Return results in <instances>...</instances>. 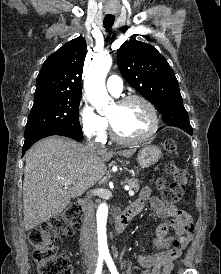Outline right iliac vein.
I'll use <instances>...</instances> for the list:
<instances>
[{"label": "right iliac vein", "instance_id": "1", "mask_svg": "<svg viewBox=\"0 0 221 274\" xmlns=\"http://www.w3.org/2000/svg\"><path fill=\"white\" fill-rule=\"evenodd\" d=\"M93 271H94V267H93V266H90V267H89V274H92Z\"/></svg>", "mask_w": 221, "mask_h": 274}]
</instances>
